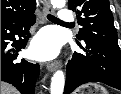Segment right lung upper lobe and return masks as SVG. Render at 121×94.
Wrapping results in <instances>:
<instances>
[{"instance_id":"obj_1","label":"right lung upper lobe","mask_w":121,"mask_h":94,"mask_svg":"<svg viewBox=\"0 0 121 94\" xmlns=\"http://www.w3.org/2000/svg\"><path fill=\"white\" fill-rule=\"evenodd\" d=\"M36 6V0H1V21L25 15Z\"/></svg>"}]
</instances>
